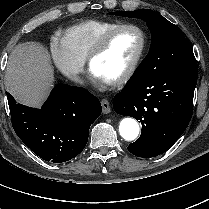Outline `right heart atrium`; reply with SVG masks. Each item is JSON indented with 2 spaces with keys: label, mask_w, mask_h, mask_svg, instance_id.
Returning <instances> with one entry per match:
<instances>
[{
  "label": "right heart atrium",
  "mask_w": 209,
  "mask_h": 209,
  "mask_svg": "<svg viewBox=\"0 0 209 209\" xmlns=\"http://www.w3.org/2000/svg\"><path fill=\"white\" fill-rule=\"evenodd\" d=\"M50 53L53 63L66 77L73 81H81L84 60L73 54L63 37H52Z\"/></svg>",
  "instance_id": "obj_1"
}]
</instances>
